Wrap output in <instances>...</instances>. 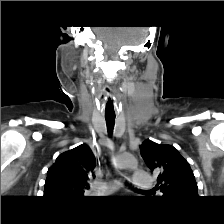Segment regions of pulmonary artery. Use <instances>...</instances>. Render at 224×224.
<instances>
[{"instance_id": "1", "label": "pulmonary artery", "mask_w": 224, "mask_h": 224, "mask_svg": "<svg viewBox=\"0 0 224 224\" xmlns=\"http://www.w3.org/2000/svg\"><path fill=\"white\" fill-rule=\"evenodd\" d=\"M152 183H153L152 177L146 172L136 171L133 175L132 184L136 188L148 189L152 186ZM121 185H122V180L112 179L107 183H103L99 186H95V188L102 190L103 192H111L117 189Z\"/></svg>"}]
</instances>
